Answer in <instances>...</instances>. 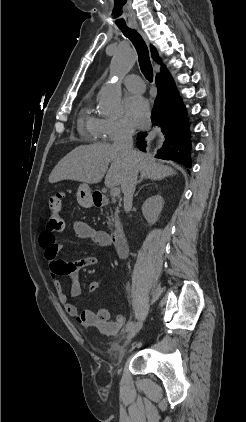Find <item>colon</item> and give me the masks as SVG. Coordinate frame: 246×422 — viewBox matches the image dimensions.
<instances>
[{
    "label": "colon",
    "mask_w": 246,
    "mask_h": 422,
    "mask_svg": "<svg viewBox=\"0 0 246 422\" xmlns=\"http://www.w3.org/2000/svg\"><path fill=\"white\" fill-rule=\"evenodd\" d=\"M64 225L63 201L60 193L49 197L48 227L54 231L60 230Z\"/></svg>",
    "instance_id": "1"
}]
</instances>
